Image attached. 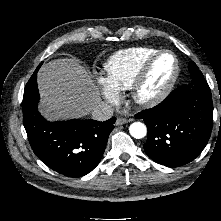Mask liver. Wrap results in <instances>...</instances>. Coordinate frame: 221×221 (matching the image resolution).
Masks as SVG:
<instances>
[{
    "label": "liver",
    "mask_w": 221,
    "mask_h": 221,
    "mask_svg": "<svg viewBox=\"0 0 221 221\" xmlns=\"http://www.w3.org/2000/svg\"><path fill=\"white\" fill-rule=\"evenodd\" d=\"M40 112L49 121L81 118L100 102L92 76L76 59H56L38 72Z\"/></svg>",
    "instance_id": "obj_1"
}]
</instances>
